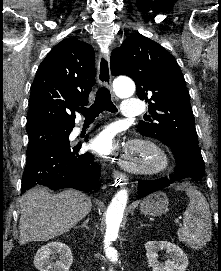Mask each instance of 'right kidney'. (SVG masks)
Listing matches in <instances>:
<instances>
[{
  "instance_id": "obj_1",
  "label": "right kidney",
  "mask_w": 221,
  "mask_h": 271,
  "mask_svg": "<svg viewBox=\"0 0 221 271\" xmlns=\"http://www.w3.org/2000/svg\"><path fill=\"white\" fill-rule=\"evenodd\" d=\"M72 261V251L62 241H49L34 257V265L39 271H69Z\"/></svg>"
}]
</instances>
